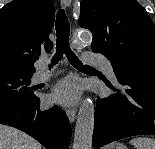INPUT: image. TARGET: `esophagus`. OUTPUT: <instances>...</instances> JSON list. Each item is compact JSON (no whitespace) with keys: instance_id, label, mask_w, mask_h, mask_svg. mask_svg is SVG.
I'll return each instance as SVG.
<instances>
[{"instance_id":"obj_1","label":"esophagus","mask_w":155,"mask_h":149,"mask_svg":"<svg viewBox=\"0 0 155 149\" xmlns=\"http://www.w3.org/2000/svg\"><path fill=\"white\" fill-rule=\"evenodd\" d=\"M71 5V0H61V6L63 8H69ZM66 115L69 119V121L71 123H73L75 121V118H76V109L73 107V108H68L66 110Z\"/></svg>"}]
</instances>
